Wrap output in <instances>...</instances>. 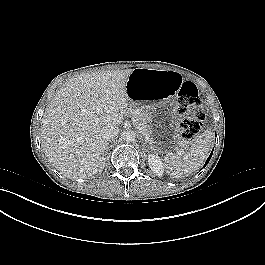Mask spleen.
Masks as SVG:
<instances>
[{"instance_id":"spleen-1","label":"spleen","mask_w":265,"mask_h":265,"mask_svg":"<svg viewBox=\"0 0 265 265\" xmlns=\"http://www.w3.org/2000/svg\"><path fill=\"white\" fill-rule=\"evenodd\" d=\"M212 138V133L205 131L188 151L167 154L163 159L167 173L174 178H182L198 170L210 150Z\"/></svg>"}]
</instances>
